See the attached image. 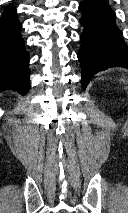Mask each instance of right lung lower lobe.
<instances>
[{
    "mask_svg": "<svg viewBox=\"0 0 128 213\" xmlns=\"http://www.w3.org/2000/svg\"><path fill=\"white\" fill-rule=\"evenodd\" d=\"M16 10L8 6L0 19V91L13 88L26 93L29 88V54L21 37Z\"/></svg>",
    "mask_w": 128,
    "mask_h": 213,
    "instance_id": "1",
    "label": "right lung lower lobe"
}]
</instances>
